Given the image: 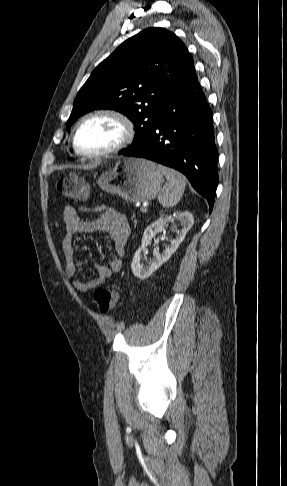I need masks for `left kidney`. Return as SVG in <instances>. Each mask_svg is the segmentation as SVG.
<instances>
[{"mask_svg":"<svg viewBox=\"0 0 287 486\" xmlns=\"http://www.w3.org/2000/svg\"><path fill=\"white\" fill-rule=\"evenodd\" d=\"M176 220H179L182 225V229L178 231L175 239H171L170 245L160 253L154 249V259L148 264L144 265L141 260L145 256L146 248L150 244L152 238L159 232L164 231L165 227ZM194 224V217L188 211L175 212L172 215L161 214L159 218L151 223L144 231L141 247L136 251L133 256L131 268L133 274L140 280H145L151 276L163 263H165L171 255L178 249L179 245L185 239L187 232Z\"/></svg>","mask_w":287,"mask_h":486,"instance_id":"5707ae66","label":"left kidney"}]
</instances>
